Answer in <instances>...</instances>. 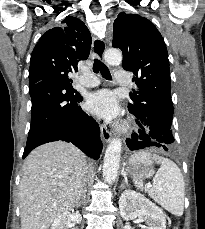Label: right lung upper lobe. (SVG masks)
Returning a JSON list of instances; mask_svg holds the SVG:
<instances>
[{"label": "right lung upper lobe", "mask_w": 205, "mask_h": 229, "mask_svg": "<svg viewBox=\"0 0 205 229\" xmlns=\"http://www.w3.org/2000/svg\"><path fill=\"white\" fill-rule=\"evenodd\" d=\"M61 23L62 27L48 30L35 45L30 59L29 86L76 72L78 62L89 56L92 40L85 24L76 17H66Z\"/></svg>", "instance_id": "right-lung-upper-lobe-1"}]
</instances>
